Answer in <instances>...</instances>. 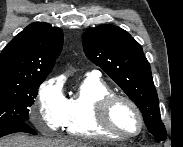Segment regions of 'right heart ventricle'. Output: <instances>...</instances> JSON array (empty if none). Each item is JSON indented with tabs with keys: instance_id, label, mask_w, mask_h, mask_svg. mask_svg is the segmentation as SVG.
Listing matches in <instances>:
<instances>
[{
	"instance_id": "1",
	"label": "right heart ventricle",
	"mask_w": 183,
	"mask_h": 147,
	"mask_svg": "<svg viewBox=\"0 0 183 147\" xmlns=\"http://www.w3.org/2000/svg\"><path fill=\"white\" fill-rule=\"evenodd\" d=\"M112 93L110 87L98 78L86 77L76 92L66 98L63 128L67 134L83 139L120 138L106 132L96 119V103Z\"/></svg>"
}]
</instances>
